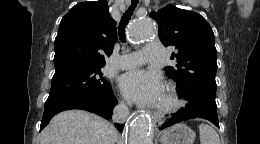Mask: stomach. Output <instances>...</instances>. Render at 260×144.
I'll return each mask as SVG.
<instances>
[{"instance_id":"0dacf381","label":"stomach","mask_w":260,"mask_h":144,"mask_svg":"<svg viewBox=\"0 0 260 144\" xmlns=\"http://www.w3.org/2000/svg\"><path fill=\"white\" fill-rule=\"evenodd\" d=\"M195 133L185 124H176L165 129L160 137L161 144H193Z\"/></svg>"}]
</instances>
